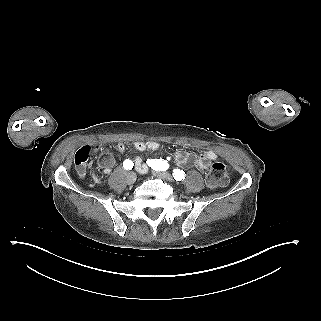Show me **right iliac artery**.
<instances>
[{"mask_svg": "<svg viewBox=\"0 0 321 321\" xmlns=\"http://www.w3.org/2000/svg\"><path fill=\"white\" fill-rule=\"evenodd\" d=\"M134 166V163L133 161H131L130 159H126L124 162H123V167L126 169V170H131Z\"/></svg>", "mask_w": 321, "mask_h": 321, "instance_id": "right-iliac-artery-1", "label": "right iliac artery"}]
</instances>
